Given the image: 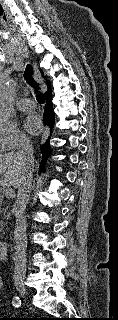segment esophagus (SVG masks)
Masks as SVG:
<instances>
[{"instance_id":"esophagus-1","label":"esophagus","mask_w":118,"mask_h":320,"mask_svg":"<svg viewBox=\"0 0 118 320\" xmlns=\"http://www.w3.org/2000/svg\"><path fill=\"white\" fill-rule=\"evenodd\" d=\"M35 78L37 80H40V74H39V72H38L36 67H35ZM49 134H50V130H49L48 127H46L44 129V132H43L42 136H41V140H40L41 144L45 143V141L47 140Z\"/></svg>"}]
</instances>
